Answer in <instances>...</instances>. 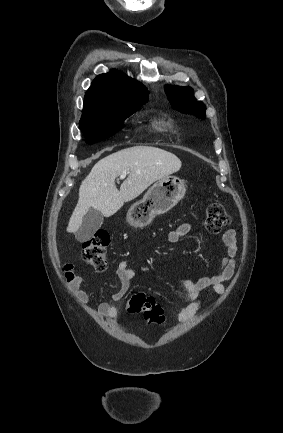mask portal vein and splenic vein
Segmentation results:
<instances>
[{
  "mask_svg": "<svg viewBox=\"0 0 283 433\" xmlns=\"http://www.w3.org/2000/svg\"><path fill=\"white\" fill-rule=\"evenodd\" d=\"M127 174H129V172H124V174H120L119 178H125V176H127Z\"/></svg>",
  "mask_w": 283,
  "mask_h": 433,
  "instance_id": "1",
  "label": "portal vein and splenic vein"
}]
</instances>
